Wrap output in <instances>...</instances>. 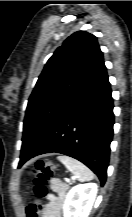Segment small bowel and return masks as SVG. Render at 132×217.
<instances>
[{
	"mask_svg": "<svg viewBox=\"0 0 132 217\" xmlns=\"http://www.w3.org/2000/svg\"><path fill=\"white\" fill-rule=\"evenodd\" d=\"M51 188L54 194L48 197L49 202L44 206L35 204L40 206L41 217H61L62 205L68 189L67 185L58 179H54L51 182Z\"/></svg>",
	"mask_w": 132,
	"mask_h": 217,
	"instance_id": "small-bowel-1",
	"label": "small bowel"
}]
</instances>
